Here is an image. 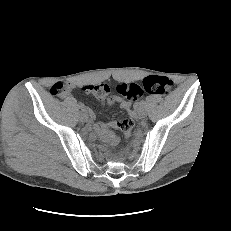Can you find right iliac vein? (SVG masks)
I'll return each mask as SVG.
<instances>
[{
	"instance_id": "right-iliac-vein-1",
	"label": "right iliac vein",
	"mask_w": 231,
	"mask_h": 231,
	"mask_svg": "<svg viewBox=\"0 0 231 231\" xmlns=\"http://www.w3.org/2000/svg\"><path fill=\"white\" fill-rule=\"evenodd\" d=\"M80 119L82 120V121H88V119H89V115H88V113H87V111L86 110H82L81 111V113H80Z\"/></svg>"
}]
</instances>
